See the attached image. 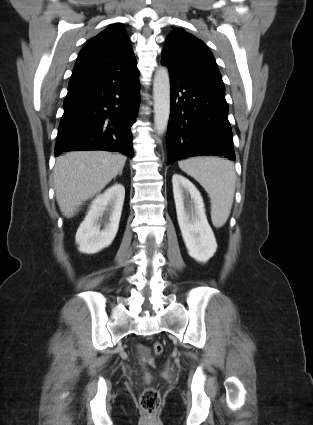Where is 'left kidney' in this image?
Returning a JSON list of instances; mask_svg holds the SVG:
<instances>
[{
  "label": "left kidney",
  "mask_w": 313,
  "mask_h": 425,
  "mask_svg": "<svg viewBox=\"0 0 313 425\" xmlns=\"http://www.w3.org/2000/svg\"><path fill=\"white\" fill-rule=\"evenodd\" d=\"M177 219L188 254L206 263L216 252L217 243L207 221L204 202L198 189L180 174L172 177Z\"/></svg>",
  "instance_id": "obj_1"
}]
</instances>
